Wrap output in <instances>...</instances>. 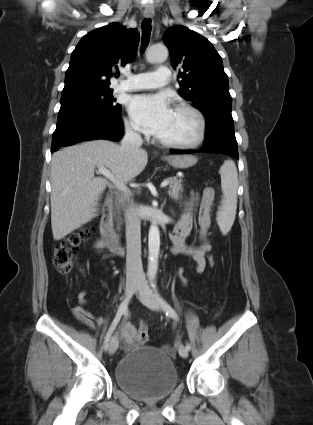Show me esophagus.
I'll list each match as a JSON object with an SVG mask.
<instances>
[{
	"label": "esophagus",
	"instance_id": "1",
	"mask_svg": "<svg viewBox=\"0 0 313 425\" xmlns=\"http://www.w3.org/2000/svg\"><path fill=\"white\" fill-rule=\"evenodd\" d=\"M144 16L146 18H152L154 16V8L153 7H146L144 10Z\"/></svg>",
	"mask_w": 313,
	"mask_h": 425
}]
</instances>
